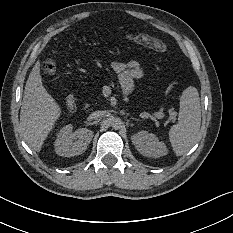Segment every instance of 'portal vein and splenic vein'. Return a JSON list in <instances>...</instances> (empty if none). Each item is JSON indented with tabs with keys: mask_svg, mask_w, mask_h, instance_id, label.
<instances>
[{
	"mask_svg": "<svg viewBox=\"0 0 233 233\" xmlns=\"http://www.w3.org/2000/svg\"><path fill=\"white\" fill-rule=\"evenodd\" d=\"M141 118H149V117H151V115L149 114V113H147V112H143V113H140V115H139ZM154 116L156 117V118H162V116H160L158 113H154ZM173 120H175V118H172Z\"/></svg>",
	"mask_w": 233,
	"mask_h": 233,
	"instance_id": "obj_1",
	"label": "portal vein and splenic vein"
}]
</instances>
